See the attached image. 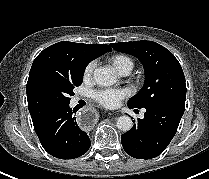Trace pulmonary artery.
Here are the masks:
<instances>
[{"instance_id": "obj_1", "label": "pulmonary artery", "mask_w": 209, "mask_h": 179, "mask_svg": "<svg viewBox=\"0 0 209 179\" xmlns=\"http://www.w3.org/2000/svg\"><path fill=\"white\" fill-rule=\"evenodd\" d=\"M121 75H127L128 73H129V71L128 70H123V71H121V72H119Z\"/></svg>"}]
</instances>
